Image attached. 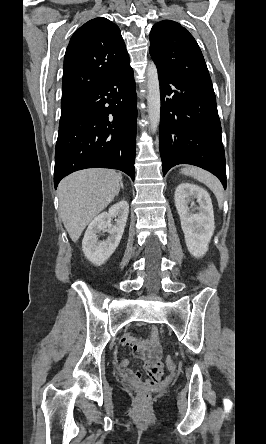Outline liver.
Segmentation results:
<instances>
[{
  "mask_svg": "<svg viewBox=\"0 0 266 444\" xmlns=\"http://www.w3.org/2000/svg\"><path fill=\"white\" fill-rule=\"evenodd\" d=\"M121 182V174L98 168L75 172L60 182V215L73 242L118 195Z\"/></svg>",
  "mask_w": 266,
  "mask_h": 444,
  "instance_id": "obj_1",
  "label": "liver"
}]
</instances>
